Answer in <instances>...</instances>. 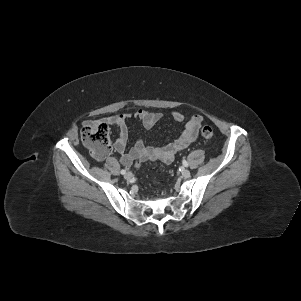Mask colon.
<instances>
[{
    "label": "colon",
    "instance_id": "1",
    "mask_svg": "<svg viewBox=\"0 0 301 301\" xmlns=\"http://www.w3.org/2000/svg\"><path fill=\"white\" fill-rule=\"evenodd\" d=\"M200 132L206 139H211L214 135L213 129L207 125L203 126ZM81 138L95 158H104L111 151L110 129L106 122H85L81 129ZM139 166L140 162H137L136 167Z\"/></svg>",
    "mask_w": 301,
    "mask_h": 301
}]
</instances>
